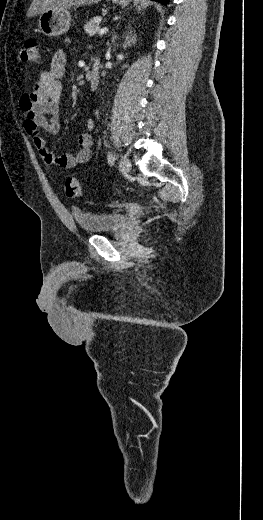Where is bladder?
Segmentation results:
<instances>
[{
  "mask_svg": "<svg viewBox=\"0 0 263 520\" xmlns=\"http://www.w3.org/2000/svg\"><path fill=\"white\" fill-rule=\"evenodd\" d=\"M74 218L79 228L89 234L118 231L127 223V216L121 213L81 212Z\"/></svg>",
  "mask_w": 263,
  "mask_h": 520,
  "instance_id": "31cf9c89",
  "label": "bladder"
}]
</instances>
